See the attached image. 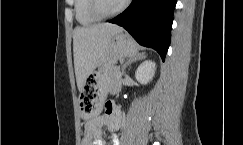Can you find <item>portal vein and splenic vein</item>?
I'll list each match as a JSON object with an SVG mask.
<instances>
[{"instance_id":"1","label":"portal vein and splenic vein","mask_w":243,"mask_h":145,"mask_svg":"<svg viewBox=\"0 0 243 145\" xmlns=\"http://www.w3.org/2000/svg\"><path fill=\"white\" fill-rule=\"evenodd\" d=\"M119 76L121 77L122 76V73L119 72Z\"/></svg>"}]
</instances>
